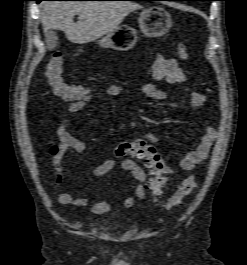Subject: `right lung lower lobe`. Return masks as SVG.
<instances>
[{"label":"right lung lower lobe","mask_w":247,"mask_h":265,"mask_svg":"<svg viewBox=\"0 0 247 265\" xmlns=\"http://www.w3.org/2000/svg\"><path fill=\"white\" fill-rule=\"evenodd\" d=\"M35 1H37V3H39L40 1H43V0H35ZM78 1H82V0H78Z\"/></svg>","instance_id":"1"}]
</instances>
